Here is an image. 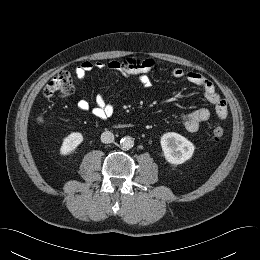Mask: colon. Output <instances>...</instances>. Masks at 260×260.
<instances>
[{
  "label": "colon",
  "instance_id": "colon-1",
  "mask_svg": "<svg viewBox=\"0 0 260 260\" xmlns=\"http://www.w3.org/2000/svg\"><path fill=\"white\" fill-rule=\"evenodd\" d=\"M74 91L73 78L68 71H61L57 73L45 86L44 95L52 97L55 95L68 96ZM39 124L45 123V118L39 116L37 118ZM226 128L220 123H214L211 126V136L218 141L224 137Z\"/></svg>",
  "mask_w": 260,
  "mask_h": 260
}]
</instances>
